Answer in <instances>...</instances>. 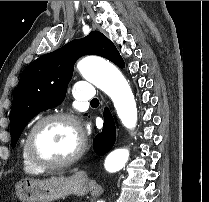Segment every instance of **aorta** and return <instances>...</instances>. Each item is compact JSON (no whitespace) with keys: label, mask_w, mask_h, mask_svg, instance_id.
Segmentation results:
<instances>
[{"label":"aorta","mask_w":209,"mask_h":202,"mask_svg":"<svg viewBox=\"0 0 209 202\" xmlns=\"http://www.w3.org/2000/svg\"><path fill=\"white\" fill-rule=\"evenodd\" d=\"M80 74L89 82L104 91L113 101L117 115L122 124L133 129L137 123V108L132 90L120 72L110 62L85 57L77 64ZM129 158V150L125 148L115 149L105 159V169L109 172L121 170Z\"/></svg>","instance_id":"obj_1"}]
</instances>
